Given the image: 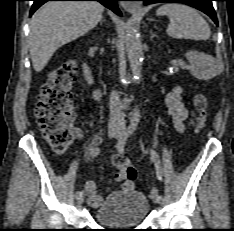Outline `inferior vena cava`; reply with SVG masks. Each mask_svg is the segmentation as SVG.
<instances>
[{
  "label": "inferior vena cava",
  "instance_id": "obj_1",
  "mask_svg": "<svg viewBox=\"0 0 234 231\" xmlns=\"http://www.w3.org/2000/svg\"><path fill=\"white\" fill-rule=\"evenodd\" d=\"M110 126H124L125 119L124 113L122 112L121 101L118 93L112 91L110 96Z\"/></svg>",
  "mask_w": 234,
  "mask_h": 231
}]
</instances>
